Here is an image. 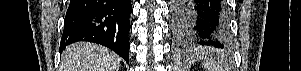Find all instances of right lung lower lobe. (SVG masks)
I'll return each mask as SVG.
<instances>
[{
    "mask_svg": "<svg viewBox=\"0 0 301 71\" xmlns=\"http://www.w3.org/2000/svg\"><path fill=\"white\" fill-rule=\"evenodd\" d=\"M131 0H71L61 38V50L73 42L104 45L129 63Z\"/></svg>",
    "mask_w": 301,
    "mask_h": 71,
    "instance_id": "98d812e1",
    "label": "right lung lower lobe"
}]
</instances>
